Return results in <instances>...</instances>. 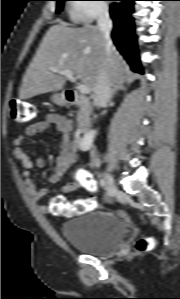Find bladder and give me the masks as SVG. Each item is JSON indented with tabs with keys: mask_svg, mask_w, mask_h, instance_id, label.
<instances>
[{
	"mask_svg": "<svg viewBox=\"0 0 180 299\" xmlns=\"http://www.w3.org/2000/svg\"><path fill=\"white\" fill-rule=\"evenodd\" d=\"M61 232L73 248L89 255L106 256L120 249L127 229L120 217L95 211L64 222Z\"/></svg>",
	"mask_w": 180,
	"mask_h": 299,
	"instance_id": "bladder-1",
	"label": "bladder"
}]
</instances>
